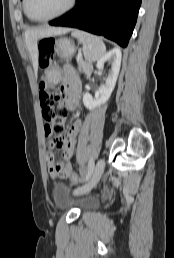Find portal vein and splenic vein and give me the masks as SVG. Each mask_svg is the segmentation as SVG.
Listing matches in <instances>:
<instances>
[{"label":"portal vein and splenic vein","mask_w":174,"mask_h":258,"mask_svg":"<svg viewBox=\"0 0 174 258\" xmlns=\"http://www.w3.org/2000/svg\"><path fill=\"white\" fill-rule=\"evenodd\" d=\"M82 58V55L81 54H78V57H77V60L81 59Z\"/></svg>","instance_id":"1"}]
</instances>
